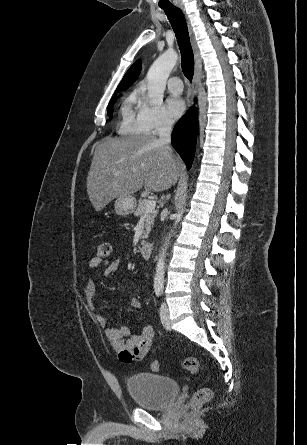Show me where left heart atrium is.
Returning a JSON list of instances; mask_svg holds the SVG:
<instances>
[{"instance_id": "obj_1", "label": "left heart atrium", "mask_w": 307, "mask_h": 445, "mask_svg": "<svg viewBox=\"0 0 307 445\" xmlns=\"http://www.w3.org/2000/svg\"><path fill=\"white\" fill-rule=\"evenodd\" d=\"M165 105L167 108L168 113L174 117L178 118L180 117L186 108L184 100L175 95H170L165 99Z\"/></svg>"}]
</instances>
